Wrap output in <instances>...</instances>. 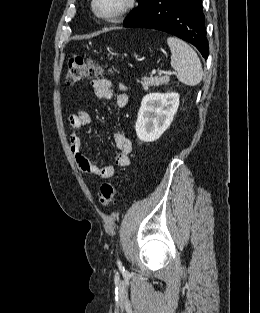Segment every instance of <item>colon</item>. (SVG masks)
<instances>
[{"label":"colon","mask_w":260,"mask_h":313,"mask_svg":"<svg viewBox=\"0 0 260 313\" xmlns=\"http://www.w3.org/2000/svg\"><path fill=\"white\" fill-rule=\"evenodd\" d=\"M102 73L101 67L90 58L82 56H72L69 59L66 83L75 85L87 78L100 76ZM115 187L112 183H104L99 192V201L103 206H109L114 200Z\"/></svg>","instance_id":"1"}]
</instances>
